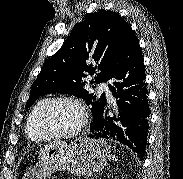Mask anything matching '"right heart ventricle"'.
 I'll return each mask as SVG.
<instances>
[{
    "label": "right heart ventricle",
    "mask_w": 183,
    "mask_h": 179,
    "mask_svg": "<svg viewBox=\"0 0 183 179\" xmlns=\"http://www.w3.org/2000/svg\"><path fill=\"white\" fill-rule=\"evenodd\" d=\"M48 100L49 99H47V98H43V99L39 100L34 105V107L32 108V110L29 114L25 131H26V135L28 136V138L32 141H41V140L45 139V137L38 130L37 118H38L39 112L41 111L42 107Z\"/></svg>",
    "instance_id": "1"
}]
</instances>
